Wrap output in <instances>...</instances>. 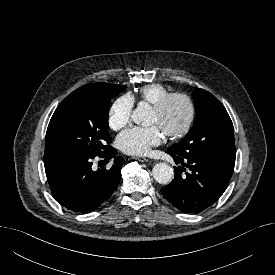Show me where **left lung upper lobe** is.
<instances>
[{"label": "left lung upper lobe", "instance_id": "1", "mask_svg": "<svg viewBox=\"0 0 275 275\" xmlns=\"http://www.w3.org/2000/svg\"><path fill=\"white\" fill-rule=\"evenodd\" d=\"M192 97L196 111L194 125L168 150L182 158L197 153L235 158L234 128L224 106L203 89H196Z\"/></svg>", "mask_w": 275, "mask_h": 275}]
</instances>
